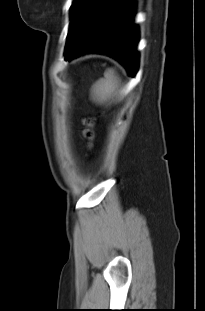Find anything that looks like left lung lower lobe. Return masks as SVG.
Segmentation results:
<instances>
[{"label": "left lung lower lobe", "mask_w": 205, "mask_h": 311, "mask_svg": "<svg viewBox=\"0 0 205 311\" xmlns=\"http://www.w3.org/2000/svg\"><path fill=\"white\" fill-rule=\"evenodd\" d=\"M134 3L120 0L111 14L91 32L76 48L67 52L66 60L84 53L108 54L123 63L131 76L138 64L136 44L137 28L132 24Z\"/></svg>", "instance_id": "1"}]
</instances>
